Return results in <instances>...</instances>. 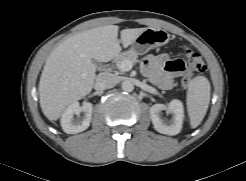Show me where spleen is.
<instances>
[{"label":"spleen","mask_w":246,"mask_h":181,"mask_svg":"<svg viewBox=\"0 0 246 181\" xmlns=\"http://www.w3.org/2000/svg\"><path fill=\"white\" fill-rule=\"evenodd\" d=\"M211 86L204 76H196L188 86L186 96L187 112L192 128L200 125L210 103Z\"/></svg>","instance_id":"3e777b00"}]
</instances>
